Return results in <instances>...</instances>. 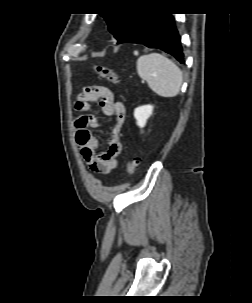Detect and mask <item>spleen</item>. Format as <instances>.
<instances>
[{
  "label": "spleen",
  "mask_w": 252,
  "mask_h": 303,
  "mask_svg": "<svg viewBox=\"0 0 252 303\" xmlns=\"http://www.w3.org/2000/svg\"><path fill=\"white\" fill-rule=\"evenodd\" d=\"M137 73L147 81L152 91L166 98L175 97L179 93L183 81L180 68L159 53L139 57Z\"/></svg>",
  "instance_id": "obj_1"
}]
</instances>
